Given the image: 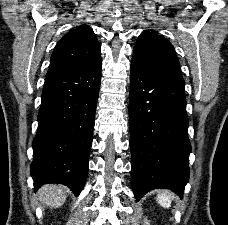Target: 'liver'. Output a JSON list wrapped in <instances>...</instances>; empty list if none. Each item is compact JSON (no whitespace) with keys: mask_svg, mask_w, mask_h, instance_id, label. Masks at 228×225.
<instances>
[{"mask_svg":"<svg viewBox=\"0 0 228 225\" xmlns=\"http://www.w3.org/2000/svg\"><path fill=\"white\" fill-rule=\"evenodd\" d=\"M39 197V201L50 207V209H58L66 201L65 187H62V185H43L39 189Z\"/></svg>","mask_w":228,"mask_h":225,"instance_id":"1","label":"liver"}]
</instances>
